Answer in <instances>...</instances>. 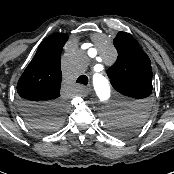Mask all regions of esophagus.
I'll use <instances>...</instances> for the list:
<instances>
[{
    "label": "esophagus",
    "instance_id": "obj_1",
    "mask_svg": "<svg viewBox=\"0 0 174 174\" xmlns=\"http://www.w3.org/2000/svg\"><path fill=\"white\" fill-rule=\"evenodd\" d=\"M90 91H91V88L85 87V88H83L82 92H83L84 95H88L90 93Z\"/></svg>",
    "mask_w": 174,
    "mask_h": 174
}]
</instances>
